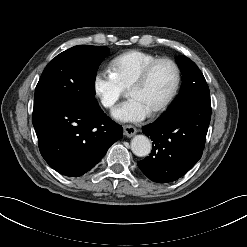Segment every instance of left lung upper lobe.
<instances>
[{
  "mask_svg": "<svg viewBox=\"0 0 247 247\" xmlns=\"http://www.w3.org/2000/svg\"><path fill=\"white\" fill-rule=\"evenodd\" d=\"M176 60L183 74V85L169 110L181 108L199 94H209L206 80L197 65L183 55L177 56Z\"/></svg>",
  "mask_w": 247,
  "mask_h": 247,
  "instance_id": "left-lung-upper-lobe-1",
  "label": "left lung upper lobe"
}]
</instances>
